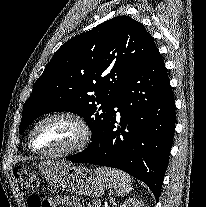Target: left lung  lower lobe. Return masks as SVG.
Returning <instances> with one entry per match:
<instances>
[{
    "mask_svg": "<svg viewBox=\"0 0 206 207\" xmlns=\"http://www.w3.org/2000/svg\"><path fill=\"white\" fill-rule=\"evenodd\" d=\"M174 130V96L156 49L116 94L94 145L71 162L121 169L146 183L158 201Z\"/></svg>",
    "mask_w": 206,
    "mask_h": 207,
    "instance_id": "obj_1",
    "label": "left lung lower lobe"
}]
</instances>
